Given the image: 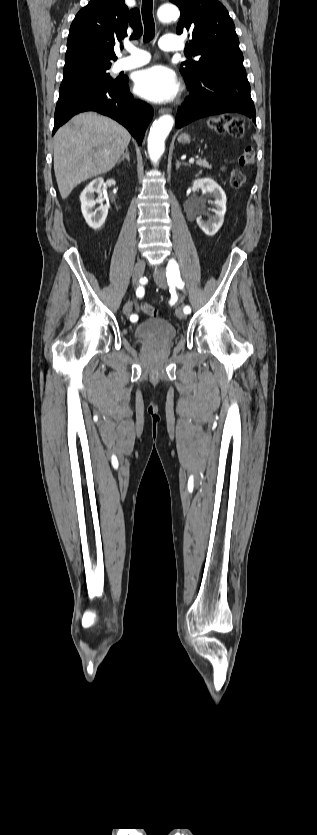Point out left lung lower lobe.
<instances>
[{
	"instance_id": "0a47b994",
	"label": "left lung lower lobe",
	"mask_w": 317,
	"mask_h": 835,
	"mask_svg": "<svg viewBox=\"0 0 317 835\" xmlns=\"http://www.w3.org/2000/svg\"><path fill=\"white\" fill-rule=\"evenodd\" d=\"M190 95L179 108L176 127L181 128L199 118L239 113L256 124V112L250 85L243 65L214 63L197 80H186Z\"/></svg>"
}]
</instances>
